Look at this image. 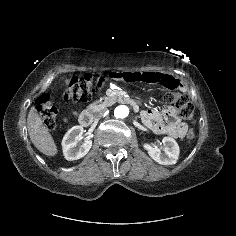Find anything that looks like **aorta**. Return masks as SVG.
I'll use <instances>...</instances> for the list:
<instances>
[{
    "label": "aorta",
    "mask_w": 236,
    "mask_h": 236,
    "mask_svg": "<svg viewBox=\"0 0 236 236\" xmlns=\"http://www.w3.org/2000/svg\"><path fill=\"white\" fill-rule=\"evenodd\" d=\"M129 108L125 105H119L114 110V116L118 119H124L129 115Z\"/></svg>",
    "instance_id": "obj_1"
}]
</instances>
